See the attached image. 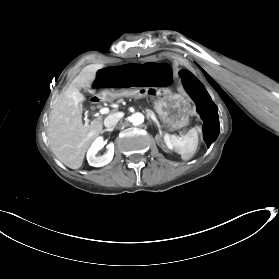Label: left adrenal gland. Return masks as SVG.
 Listing matches in <instances>:
<instances>
[{
	"label": "left adrenal gland",
	"instance_id": "a2214340",
	"mask_svg": "<svg viewBox=\"0 0 279 279\" xmlns=\"http://www.w3.org/2000/svg\"><path fill=\"white\" fill-rule=\"evenodd\" d=\"M152 122H153V124H155V125L157 126V128H158L159 132H161V126H160V124H159L158 120H157V119H155V120H152Z\"/></svg>",
	"mask_w": 279,
	"mask_h": 279
}]
</instances>
